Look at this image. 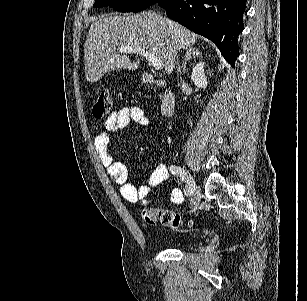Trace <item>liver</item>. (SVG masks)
Segmentation results:
<instances>
[{
  "instance_id": "6515ba94",
  "label": "liver",
  "mask_w": 307,
  "mask_h": 301,
  "mask_svg": "<svg viewBox=\"0 0 307 301\" xmlns=\"http://www.w3.org/2000/svg\"><path fill=\"white\" fill-rule=\"evenodd\" d=\"M197 38L195 32L154 10L123 16L101 14L92 22L86 36L85 76L89 82H97L109 70H136L140 58L131 60L129 52L117 54L116 46H141L160 56L165 72L172 74L177 48L188 50Z\"/></svg>"
}]
</instances>
